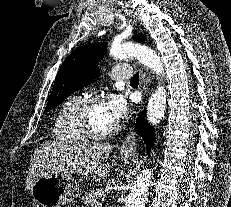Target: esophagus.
Segmentation results:
<instances>
[{
  "mask_svg": "<svg viewBox=\"0 0 231 207\" xmlns=\"http://www.w3.org/2000/svg\"><path fill=\"white\" fill-rule=\"evenodd\" d=\"M145 82L147 84V80L146 79H145ZM136 141H137V139H136V133L132 129L128 133V135L126 136V138L123 141L122 145L120 146V148H119L120 152L121 153H125V154H135V152L137 150Z\"/></svg>",
  "mask_w": 231,
  "mask_h": 207,
  "instance_id": "1",
  "label": "esophagus"
}]
</instances>
